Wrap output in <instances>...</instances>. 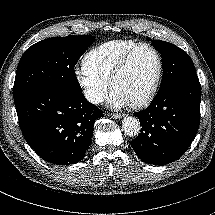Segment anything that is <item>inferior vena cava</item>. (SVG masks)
<instances>
[{
	"mask_svg": "<svg viewBox=\"0 0 215 215\" xmlns=\"http://www.w3.org/2000/svg\"><path fill=\"white\" fill-rule=\"evenodd\" d=\"M84 95L89 102L94 104H99L103 101V97L92 88L86 89Z\"/></svg>",
	"mask_w": 215,
	"mask_h": 215,
	"instance_id": "1",
	"label": "inferior vena cava"
}]
</instances>
